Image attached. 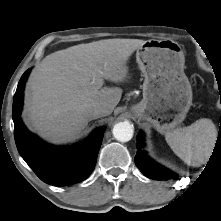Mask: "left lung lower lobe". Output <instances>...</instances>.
Segmentation results:
<instances>
[{
    "label": "left lung lower lobe",
    "mask_w": 221,
    "mask_h": 221,
    "mask_svg": "<svg viewBox=\"0 0 221 221\" xmlns=\"http://www.w3.org/2000/svg\"><path fill=\"white\" fill-rule=\"evenodd\" d=\"M217 143L221 145V134H218ZM143 134L138 136L137 155L135 156V163L140 171L147 177L154 180H168L178 179V175L171 172L167 168L162 167L153 160H151L144 150Z\"/></svg>",
    "instance_id": "obj_1"
}]
</instances>
